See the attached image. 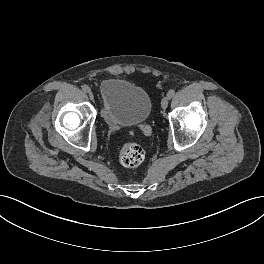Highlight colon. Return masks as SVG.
Here are the masks:
<instances>
[{"instance_id":"5ec220e1","label":"colon","mask_w":264,"mask_h":264,"mask_svg":"<svg viewBox=\"0 0 264 264\" xmlns=\"http://www.w3.org/2000/svg\"><path fill=\"white\" fill-rule=\"evenodd\" d=\"M119 158L123 166L127 168H135L144 161L145 151L139 144L126 143L120 150Z\"/></svg>"}]
</instances>
